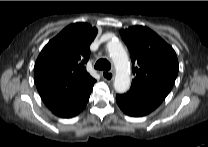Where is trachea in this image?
Returning a JSON list of instances; mask_svg holds the SVG:
<instances>
[{"label":"trachea","instance_id":"obj_1","mask_svg":"<svg viewBox=\"0 0 208 147\" xmlns=\"http://www.w3.org/2000/svg\"><path fill=\"white\" fill-rule=\"evenodd\" d=\"M94 68L97 70L109 71L111 69V64L107 59H99Z\"/></svg>","mask_w":208,"mask_h":147}]
</instances>
